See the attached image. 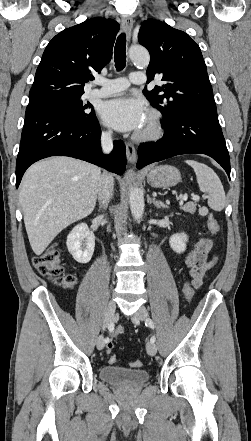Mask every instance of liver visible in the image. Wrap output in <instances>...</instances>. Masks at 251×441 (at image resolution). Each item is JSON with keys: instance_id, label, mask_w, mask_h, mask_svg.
I'll return each instance as SVG.
<instances>
[{"instance_id": "6515ba94", "label": "liver", "mask_w": 251, "mask_h": 441, "mask_svg": "<svg viewBox=\"0 0 251 441\" xmlns=\"http://www.w3.org/2000/svg\"><path fill=\"white\" fill-rule=\"evenodd\" d=\"M100 177L99 167L64 156L39 161L25 172L19 202L36 255L64 228L92 213Z\"/></svg>"}]
</instances>
